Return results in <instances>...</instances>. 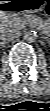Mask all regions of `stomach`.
<instances>
[{
  "instance_id": "obj_1",
  "label": "stomach",
  "mask_w": 50,
  "mask_h": 111,
  "mask_svg": "<svg viewBox=\"0 0 50 111\" xmlns=\"http://www.w3.org/2000/svg\"><path fill=\"white\" fill-rule=\"evenodd\" d=\"M3 3H9V2H2V4ZM45 5H46V0H20V3L17 6L7 7L5 13L8 15L35 13L42 11Z\"/></svg>"
}]
</instances>
